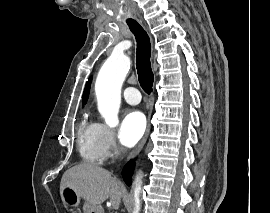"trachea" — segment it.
Wrapping results in <instances>:
<instances>
[{"instance_id": "obj_1", "label": "trachea", "mask_w": 270, "mask_h": 213, "mask_svg": "<svg viewBox=\"0 0 270 213\" xmlns=\"http://www.w3.org/2000/svg\"><path fill=\"white\" fill-rule=\"evenodd\" d=\"M127 24L137 41L136 66L139 83L142 89L150 94L154 82L151 68V43L147 32L134 20H127Z\"/></svg>"}]
</instances>
